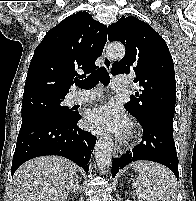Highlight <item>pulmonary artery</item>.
I'll list each match as a JSON object with an SVG mask.
<instances>
[{
    "instance_id": "1",
    "label": "pulmonary artery",
    "mask_w": 196,
    "mask_h": 201,
    "mask_svg": "<svg viewBox=\"0 0 196 201\" xmlns=\"http://www.w3.org/2000/svg\"><path fill=\"white\" fill-rule=\"evenodd\" d=\"M127 79L125 77L114 78L111 82V88L113 90H123L127 88ZM100 96V93L94 90H87V91H77L72 94L71 101L74 104L82 103L86 101H90L96 99Z\"/></svg>"
}]
</instances>
